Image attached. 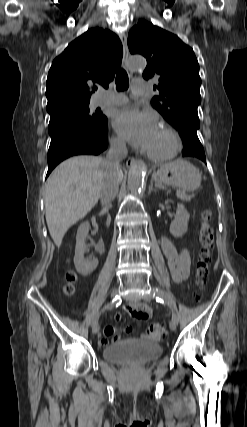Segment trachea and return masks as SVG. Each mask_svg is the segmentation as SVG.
<instances>
[{"label":"trachea","instance_id":"3493384b","mask_svg":"<svg viewBox=\"0 0 247 427\" xmlns=\"http://www.w3.org/2000/svg\"><path fill=\"white\" fill-rule=\"evenodd\" d=\"M129 87V80L126 71L120 69L116 75V88L118 91L127 90Z\"/></svg>","mask_w":247,"mask_h":427}]
</instances>
